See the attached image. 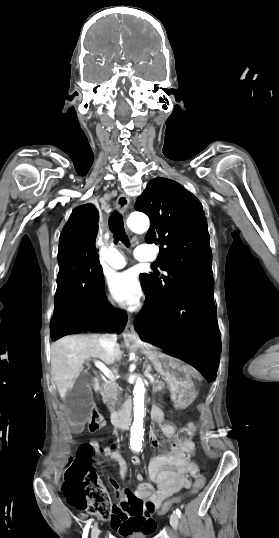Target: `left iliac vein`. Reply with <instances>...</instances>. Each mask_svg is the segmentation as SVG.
I'll use <instances>...</instances> for the list:
<instances>
[{"mask_svg": "<svg viewBox=\"0 0 279 538\" xmlns=\"http://www.w3.org/2000/svg\"><path fill=\"white\" fill-rule=\"evenodd\" d=\"M170 524H171L172 528L174 529V531H177L178 525H179V520H178V516H177L176 513L171 514V516H170Z\"/></svg>", "mask_w": 279, "mask_h": 538, "instance_id": "obj_1", "label": "left iliac vein"}]
</instances>
